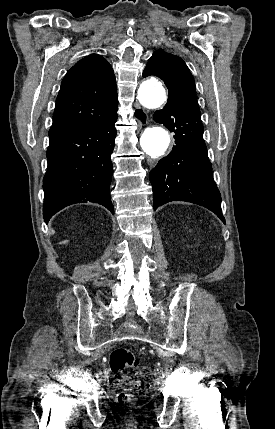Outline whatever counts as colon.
<instances>
[{"label": "colon", "instance_id": "1", "mask_svg": "<svg viewBox=\"0 0 275 429\" xmlns=\"http://www.w3.org/2000/svg\"><path fill=\"white\" fill-rule=\"evenodd\" d=\"M109 367L115 379L123 386V390L117 394V402L120 405L133 403L135 394L142 391L146 385L145 375L139 369L134 354L125 347L115 348L109 355ZM128 370L135 371L136 377H130Z\"/></svg>", "mask_w": 275, "mask_h": 429}]
</instances>
